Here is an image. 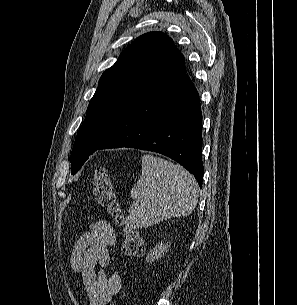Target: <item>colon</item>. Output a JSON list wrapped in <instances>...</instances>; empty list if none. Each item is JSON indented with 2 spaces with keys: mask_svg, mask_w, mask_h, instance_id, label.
<instances>
[{
  "mask_svg": "<svg viewBox=\"0 0 297 305\" xmlns=\"http://www.w3.org/2000/svg\"><path fill=\"white\" fill-rule=\"evenodd\" d=\"M94 195L98 205L108 214L122 221L123 214L113 188L110 174L105 166H98L93 178ZM144 241L142 236L134 230L124 232L121 253L125 258H138L143 254ZM110 305H119L111 303Z\"/></svg>",
  "mask_w": 297,
  "mask_h": 305,
  "instance_id": "obj_1",
  "label": "colon"
}]
</instances>
